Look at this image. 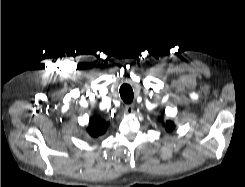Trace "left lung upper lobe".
I'll list each match as a JSON object with an SVG mask.
<instances>
[{
	"label": "left lung upper lobe",
	"mask_w": 245,
	"mask_h": 187,
	"mask_svg": "<svg viewBox=\"0 0 245 187\" xmlns=\"http://www.w3.org/2000/svg\"><path fill=\"white\" fill-rule=\"evenodd\" d=\"M159 120L161 121V120H162V117H160ZM165 129H166V131H168V132L171 131V130H173V129H174V124H173V122L167 121V122H166V125H165Z\"/></svg>",
	"instance_id": "obj_1"
}]
</instances>
